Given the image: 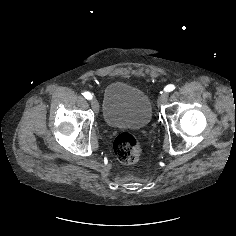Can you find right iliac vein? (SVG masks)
<instances>
[{
  "instance_id": "obj_1",
  "label": "right iliac vein",
  "mask_w": 236,
  "mask_h": 236,
  "mask_svg": "<svg viewBox=\"0 0 236 236\" xmlns=\"http://www.w3.org/2000/svg\"><path fill=\"white\" fill-rule=\"evenodd\" d=\"M91 105L95 111L98 110V101L96 99L91 100Z\"/></svg>"
}]
</instances>
